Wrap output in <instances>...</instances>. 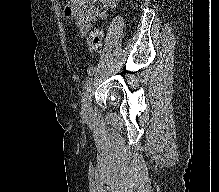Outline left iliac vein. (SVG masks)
<instances>
[{
	"label": "left iliac vein",
	"instance_id": "left-iliac-vein-1",
	"mask_svg": "<svg viewBox=\"0 0 219 192\" xmlns=\"http://www.w3.org/2000/svg\"><path fill=\"white\" fill-rule=\"evenodd\" d=\"M81 108H82L83 117L84 118L89 117L90 114H91V100H90V96L86 95V97L83 98L82 104H81Z\"/></svg>",
	"mask_w": 219,
	"mask_h": 192
}]
</instances>
